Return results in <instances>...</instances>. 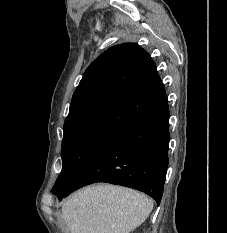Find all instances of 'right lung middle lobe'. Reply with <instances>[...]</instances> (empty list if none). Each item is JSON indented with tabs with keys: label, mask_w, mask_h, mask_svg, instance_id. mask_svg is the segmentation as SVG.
I'll return each mask as SVG.
<instances>
[{
	"label": "right lung middle lobe",
	"mask_w": 227,
	"mask_h": 233,
	"mask_svg": "<svg viewBox=\"0 0 227 233\" xmlns=\"http://www.w3.org/2000/svg\"><path fill=\"white\" fill-rule=\"evenodd\" d=\"M116 134L101 129H83L64 134L62 171L52 193L67 188Z\"/></svg>",
	"instance_id": "right-lung-middle-lobe-1"
}]
</instances>
